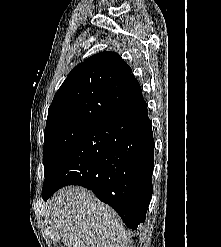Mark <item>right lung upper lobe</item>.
<instances>
[{
    "label": "right lung upper lobe",
    "instance_id": "cb5924a9",
    "mask_svg": "<svg viewBox=\"0 0 221 247\" xmlns=\"http://www.w3.org/2000/svg\"><path fill=\"white\" fill-rule=\"evenodd\" d=\"M143 101L127 63L115 52H101L69 73L48 109L46 130L69 124L93 127Z\"/></svg>",
    "mask_w": 221,
    "mask_h": 247
}]
</instances>
